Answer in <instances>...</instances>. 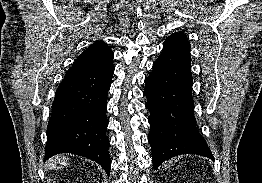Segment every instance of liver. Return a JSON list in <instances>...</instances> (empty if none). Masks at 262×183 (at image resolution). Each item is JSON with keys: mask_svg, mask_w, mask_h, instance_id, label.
<instances>
[{"mask_svg": "<svg viewBox=\"0 0 262 183\" xmlns=\"http://www.w3.org/2000/svg\"><path fill=\"white\" fill-rule=\"evenodd\" d=\"M68 166V158L65 155H58L55 157H52L48 162H47V169L53 170V169H62L64 167Z\"/></svg>", "mask_w": 262, "mask_h": 183, "instance_id": "1", "label": "liver"}]
</instances>
